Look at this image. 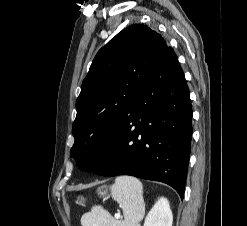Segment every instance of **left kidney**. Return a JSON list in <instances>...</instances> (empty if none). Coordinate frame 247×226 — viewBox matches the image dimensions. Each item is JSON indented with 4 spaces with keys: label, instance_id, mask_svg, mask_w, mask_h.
Wrapping results in <instances>:
<instances>
[{
    "label": "left kidney",
    "instance_id": "obj_1",
    "mask_svg": "<svg viewBox=\"0 0 247 226\" xmlns=\"http://www.w3.org/2000/svg\"><path fill=\"white\" fill-rule=\"evenodd\" d=\"M173 215L169 201L161 197L145 218L143 226H172Z\"/></svg>",
    "mask_w": 247,
    "mask_h": 226
}]
</instances>
